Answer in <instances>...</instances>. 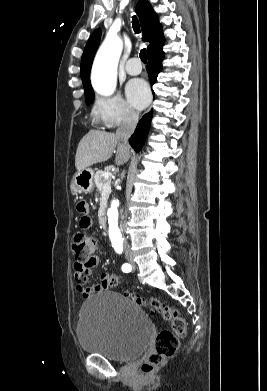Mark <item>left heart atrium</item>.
I'll list each match as a JSON object with an SVG mask.
<instances>
[{"label": "left heart atrium", "mask_w": 267, "mask_h": 391, "mask_svg": "<svg viewBox=\"0 0 267 391\" xmlns=\"http://www.w3.org/2000/svg\"><path fill=\"white\" fill-rule=\"evenodd\" d=\"M126 96L135 108L142 109L150 99L147 83L142 79L130 80L126 86Z\"/></svg>", "instance_id": "obj_1"}]
</instances>
